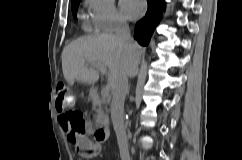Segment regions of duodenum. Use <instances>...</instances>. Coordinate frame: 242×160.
<instances>
[{"mask_svg": "<svg viewBox=\"0 0 242 160\" xmlns=\"http://www.w3.org/2000/svg\"><path fill=\"white\" fill-rule=\"evenodd\" d=\"M98 93H99L98 90L95 88L92 89L91 91V96L96 102H98L99 100ZM109 133H110L109 127L106 124H102L94 131V136L98 142L104 143L108 140Z\"/></svg>", "mask_w": 242, "mask_h": 160, "instance_id": "obj_1", "label": "duodenum"}]
</instances>
